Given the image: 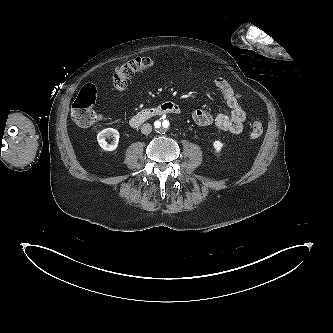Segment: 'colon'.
Here are the masks:
<instances>
[{"label":"colon","instance_id":"1","mask_svg":"<svg viewBox=\"0 0 333 333\" xmlns=\"http://www.w3.org/2000/svg\"><path fill=\"white\" fill-rule=\"evenodd\" d=\"M154 59L150 57H137L118 67L113 75V85L118 90L127 87L128 81L137 72L147 70L154 65ZM97 100V88L93 84H86L79 91L72 104L71 114L73 120L82 127H88L100 121L101 115L95 110ZM263 134V124L256 120L251 125L250 137L258 139Z\"/></svg>","mask_w":333,"mask_h":333}]
</instances>
